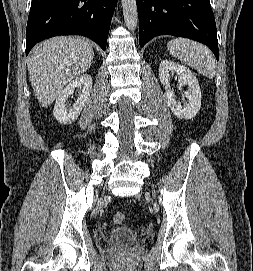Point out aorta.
<instances>
[{
	"label": "aorta",
	"mask_w": 253,
	"mask_h": 271,
	"mask_svg": "<svg viewBox=\"0 0 253 271\" xmlns=\"http://www.w3.org/2000/svg\"><path fill=\"white\" fill-rule=\"evenodd\" d=\"M125 25L130 31H134L138 24V12L136 0H121Z\"/></svg>",
	"instance_id": "762f6f07"
}]
</instances>
